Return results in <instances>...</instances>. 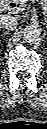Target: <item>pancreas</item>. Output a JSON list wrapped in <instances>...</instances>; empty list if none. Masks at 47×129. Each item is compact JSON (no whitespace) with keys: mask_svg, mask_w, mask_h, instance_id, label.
I'll return each instance as SVG.
<instances>
[{"mask_svg":"<svg viewBox=\"0 0 47 129\" xmlns=\"http://www.w3.org/2000/svg\"><path fill=\"white\" fill-rule=\"evenodd\" d=\"M21 3V9L26 8L27 4L25 2H21V0H18Z\"/></svg>","mask_w":47,"mask_h":129,"instance_id":"cf45deb5","label":"pancreas"}]
</instances>
